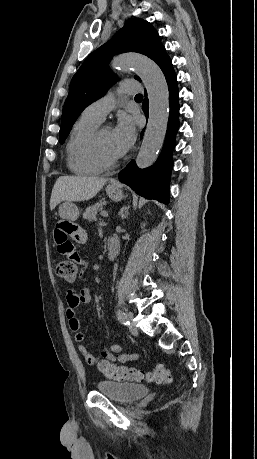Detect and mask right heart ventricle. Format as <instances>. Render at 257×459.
<instances>
[{
	"instance_id": "e07e8e85",
	"label": "right heart ventricle",
	"mask_w": 257,
	"mask_h": 459,
	"mask_svg": "<svg viewBox=\"0 0 257 459\" xmlns=\"http://www.w3.org/2000/svg\"><path fill=\"white\" fill-rule=\"evenodd\" d=\"M100 123L83 113L72 128L66 145V157L68 168L76 175H96L103 170L90 152L91 138Z\"/></svg>"
}]
</instances>
